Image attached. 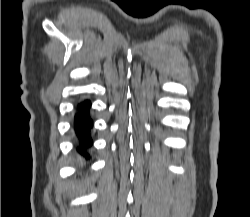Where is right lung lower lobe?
I'll list each match as a JSON object with an SVG mask.
<instances>
[{"label": "right lung lower lobe", "instance_id": "obj_1", "mask_svg": "<svg viewBox=\"0 0 250 217\" xmlns=\"http://www.w3.org/2000/svg\"><path fill=\"white\" fill-rule=\"evenodd\" d=\"M90 106L91 102L88 100L80 103L77 106L78 112L75 114L73 121L74 132L78 139L77 149L81 153H86V149L92 145L90 130L93 122L89 116Z\"/></svg>", "mask_w": 250, "mask_h": 217}]
</instances>
